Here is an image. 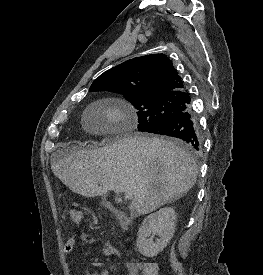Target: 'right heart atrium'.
I'll use <instances>...</instances> for the list:
<instances>
[{
    "label": "right heart atrium",
    "instance_id": "obj_1",
    "mask_svg": "<svg viewBox=\"0 0 263 275\" xmlns=\"http://www.w3.org/2000/svg\"><path fill=\"white\" fill-rule=\"evenodd\" d=\"M108 120H109V122H111V123L120 124L122 118L120 117V115H119L117 112L112 111V112H110V113L108 114Z\"/></svg>",
    "mask_w": 263,
    "mask_h": 275
}]
</instances>
